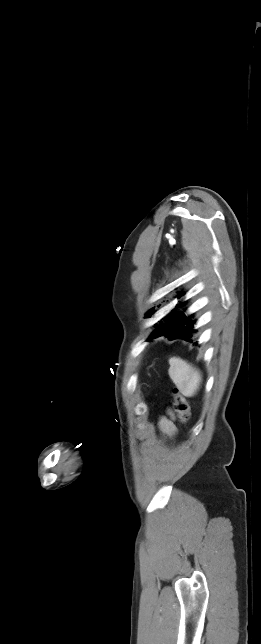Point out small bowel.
<instances>
[{"label": "small bowel", "instance_id": "small-bowel-1", "mask_svg": "<svg viewBox=\"0 0 261 644\" xmlns=\"http://www.w3.org/2000/svg\"><path fill=\"white\" fill-rule=\"evenodd\" d=\"M170 417H161L159 420V429L166 437H173L176 434V427L173 422V414L169 412Z\"/></svg>", "mask_w": 261, "mask_h": 644}]
</instances>
